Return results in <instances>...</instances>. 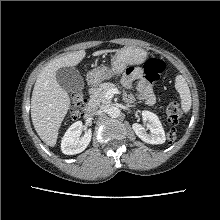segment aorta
Returning <instances> with one entry per match:
<instances>
[{
	"mask_svg": "<svg viewBox=\"0 0 220 220\" xmlns=\"http://www.w3.org/2000/svg\"><path fill=\"white\" fill-rule=\"evenodd\" d=\"M120 109L118 107L112 106L108 109V115L112 118H116L120 115Z\"/></svg>",
	"mask_w": 220,
	"mask_h": 220,
	"instance_id": "1",
	"label": "aorta"
}]
</instances>
